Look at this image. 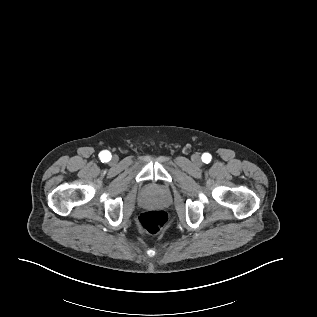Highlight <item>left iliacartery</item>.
I'll list each match as a JSON object with an SVG mask.
<instances>
[{"label":"left iliac artery","instance_id":"left-iliac-artery-1","mask_svg":"<svg viewBox=\"0 0 317 317\" xmlns=\"http://www.w3.org/2000/svg\"><path fill=\"white\" fill-rule=\"evenodd\" d=\"M211 159H212V156L209 153H204L202 155V161L204 163H209L211 161Z\"/></svg>","mask_w":317,"mask_h":317}]
</instances>
